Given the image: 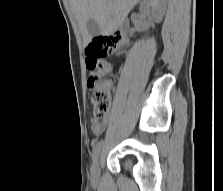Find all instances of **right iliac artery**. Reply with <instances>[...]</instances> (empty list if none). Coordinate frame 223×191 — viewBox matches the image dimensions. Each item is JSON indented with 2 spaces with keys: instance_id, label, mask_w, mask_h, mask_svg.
<instances>
[{
  "instance_id": "1",
  "label": "right iliac artery",
  "mask_w": 223,
  "mask_h": 191,
  "mask_svg": "<svg viewBox=\"0 0 223 191\" xmlns=\"http://www.w3.org/2000/svg\"><path fill=\"white\" fill-rule=\"evenodd\" d=\"M103 145V140H100L94 147L92 151V158L95 160L101 150V147Z\"/></svg>"
}]
</instances>
